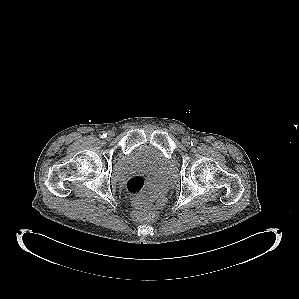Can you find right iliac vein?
<instances>
[{
  "mask_svg": "<svg viewBox=\"0 0 299 299\" xmlns=\"http://www.w3.org/2000/svg\"><path fill=\"white\" fill-rule=\"evenodd\" d=\"M113 136H114V132H113V131H109V132H108V137L111 138V137H113Z\"/></svg>",
  "mask_w": 299,
  "mask_h": 299,
  "instance_id": "obj_1",
  "label": "right iliac vein"
}]
</instances>
